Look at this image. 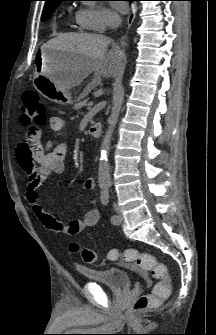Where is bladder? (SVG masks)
I'll return each mask as SVG.
<instances>
[{
  "label": "bladder",
  "mask_w": 216,
  "mask_h": 335,
  "mask_svg": "<svg viewBox=\"0 0 216 335\" xmlns=\"http://www.w3.org/2000/svg\"><path fill=\"white\" fill-rule=\"evenodd\" d=\"M77 271L87 280L105 285L113 291H126L131 288V274L115 267L101 269L77 268Z\"/></svg>",
  "instance_id": "bladder-1"
}]
</instances>
